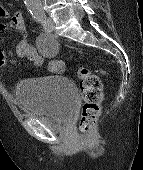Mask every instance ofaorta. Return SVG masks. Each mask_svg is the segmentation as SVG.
<instances>
[{
    "label": "aorta",
    "instance_id": "obj_1",
    "mask_svg": "<svg viewBox=\"0 0 143 170\" xmlns=\"http://www.w3.org/2000/svg\"><path fill=\"white\" fill-rule=\"evenodd\" d=\"M24 2L32 16L40 17L44 14L42 0H24Z\"/></svg>",
    "mask_w": 143,
    "mask_h": 170
}]
</instances>
